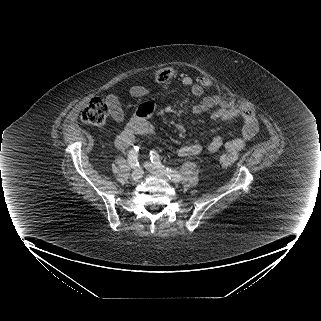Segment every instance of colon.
Wrapping results in <instances>:
<instances>
[{
	"label": "colon",
	"instance_id": "1",
	"mask_svg": "<svg viewBox=\"0 0 321 321\" xmlns=\"http://www.w3.org/2000/svg\"><path fill=\"white\" fill-rule=\"evenodd\" d=\"M174 71L169 67L161 68L156 73V79L159 82H168L172 79ZM195 82L199 86H210L211 82L208 77L199 75L196 77ZM109 114V108L101 98L91 99L86 106L82 109L80 118L81 121L88 125L102 126L105 124ZM238 159L236 153L230 152L219 156L218 163L222 167L233 165Z\"/></svg>",
	"mask_w": 321,
	"mask_h": 321
}]
</instances>
